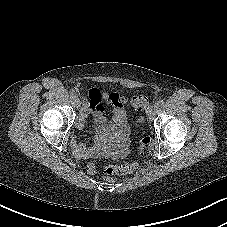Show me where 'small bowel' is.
<instances>
[{
    "label": "small bowel",
    "instance_id": "c3829d8e",
    "mask_svg": "<svg viewBox=\"0 0 227 227\" xmlns=\"http://www.w3.org/2000/svg\"><path fill=\"white\" fill-rule=\"evenodd\" d=\"M123 99L116 93L101 92L92 88L84 101V106L75 123V130L80 131L90 116L93 117L97 135L92 146H86L77 140L76 134L71 138V145L76 156L123 157L128 148L129 127ZM104 105L112 109V121L107 123Z\"/></svg>",
    "mask_w": 227,
    "mask_h": 227
}]
</instances>
